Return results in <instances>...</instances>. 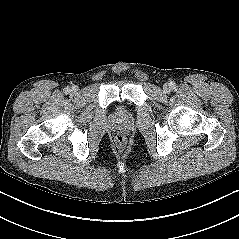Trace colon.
Instances as JSON below:
<instances>
[{
    "mask_svg": "<svg viewBox=\"0 0 239 239\" xmlns=\"http://www.w3.org/2000/svg\"><path fill=\"white\" fill-rule=\"evenodd\" d=\"M116 143L119 145V146H123L124 143H125V138L123 136H117L116 137Z\"/></svg>",
    "mask_w": 239,
    "mask_h": 239,
    "instance_id": "1",
    "label": "colon"
}]
</instances>
